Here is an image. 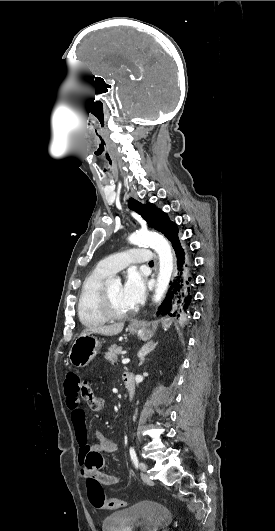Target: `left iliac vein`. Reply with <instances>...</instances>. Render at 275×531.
<instances>
[{
    "instance_id": "left-iliac-vein-1",
    "label": "left iliac vein",
    "mask_w": 275,
    "mask_h": 531,
    "mask_svg": "<svg viewBox=\"0 0 275 531\" xmlns=\"http://www.w3.org/2000/svg\"><path fill=\"white\" fill-rule=\"evenodd\" d=\"M139 468L140 470L142 471L141 472V478L143 480V482L147 483V484H151V478L150 476L146 473V470H147V465L143 462H140L139 463Z\"/></svg>"
}]
</instances>
